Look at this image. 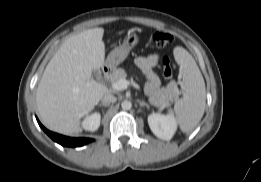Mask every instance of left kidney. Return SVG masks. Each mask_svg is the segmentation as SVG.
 I'll list each match as a JSON object with an SVG mask.
<instances>
[{
    "label": "left kidney",
    "instance_id": "1",
    "mask_svg": "<svg viewBox=\"0 0 261 182\" xmlns=\"http://www.w3.org/2000/svg\"><path fill=\"white\" fill-rule=\"evenodd\" d=\"M148 124L153 134L163 140H170L177 130V121L171 115L152 113Z\"/></svg>",
    "mask_w": 261,
    "mask_h": 182
}]
</instances>
